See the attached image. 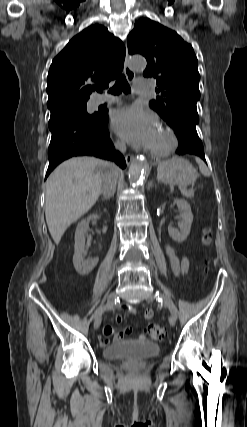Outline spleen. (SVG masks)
Listing matches in <instances>:
<instances>
[{"instance_id": "obj_1", "label": "spleen", "mask_w": 247, "mask_h": 427, "mask_svg": "<svg viewBox=\"0 0 247 427\" xmlns=\"http://www.w3.org/2000/svg\"><path fill=\"white\" fill-rule=\"evenodd\" d=\"M196 162L198 163V165H199V170H200V172L204 175V176H206V177H208V176H210V171H209V169L207 168V166L200 160V159H198V158H196Z\"/></svg>"}]
</instances>
